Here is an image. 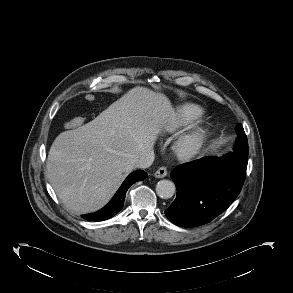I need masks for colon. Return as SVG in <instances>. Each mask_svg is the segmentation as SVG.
<instances>
[{
  "instance_id": "colon-1",
  "label": "colon",
  "mask_w": 293,
  "mask_h": 293,
  "mask_svg": "<svg viewBox=\"0 0 293 293\" xmlns=\"http://www.w3.org/2000/svg\"><path fill=\"white\" fill-rule=\"evenodd\" d=\"M85 99L88 102H93L96 100V96L92 93H88L85 95ZM84 122H85V119L83 117H75V118L69 120L65 126L67 129H74V128H77V127H80L81 125H83Z\"/></svg>"
}]
</instances>
